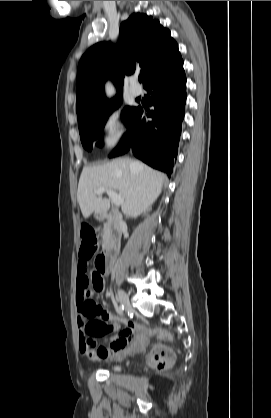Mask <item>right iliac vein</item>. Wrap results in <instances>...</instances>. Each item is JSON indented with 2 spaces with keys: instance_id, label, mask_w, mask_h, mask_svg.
Wrapping results in <instances>:
<instances>
[{
  "instance_id": "1",
  "label": "right iliac vein",
  "mask_w": 271,
  "mask_h": 418,
  "mask_svg": "<svg viewBox=\"0 0 271 418\" xmlns=\"http://www.w3.org/2000/svg\"><path fill=\"white\" fill-rule=\"evenodd\" d=\"M118 297H119L121 304L124 306L126 310L131 309L129 297L125 291H123L122 289H118Z\"/></svg>"
}]
</instances>
